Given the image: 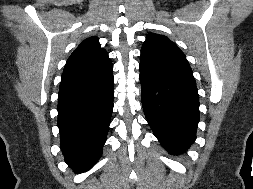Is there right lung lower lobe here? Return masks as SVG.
Segmentation results:
<instances>
[{
	"label": "right lung lower lobe",
	"instance_id": "98d812e1",
	"mask_svg": "<svg viewBox=\"0 0 253 189\" xmlns=\"http://www.w3.org/2000/svg\"><path fill=\"white\" fill-rule=\"evenodd\" d=\"M114 98L112 72L92 82H61L58 96L60 145L75 173L90 169L101 156Z\"/></svg>",
	"mask_w": 253,
	"mask_h": 189
}]
</instances>
